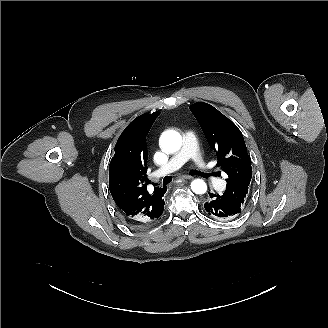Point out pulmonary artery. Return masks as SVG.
Segmentation results:
<instances>
[{
    "label": "pulmonary artery",
    "mask_w": 328,
    "mask_h": 328,
    "mask_svg": "<svg viewBox=\"0 0 328 328\" xmlns=\"http://www.w3.org/2000/svg\"><path fill=\"white\" fill-rule=\"evenodd\" d=\"M183 138L187 144H184L182 149L174 154L171 161L163 166L162 172L168 173L172 170V167L178 170L184 169L189 161V158L191 157L193 162L198 165L199 169L203 172L208 181L212 184L217 183L220 179L219 173L210 164V162L206 160V157L202 151L198 149L201 142L200 136L190 130H184Z\"/></svg>",
    "instance_id": "1"
}]
</instances>
